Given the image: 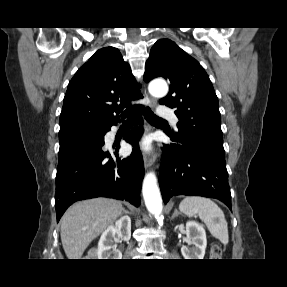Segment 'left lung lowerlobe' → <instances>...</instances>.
Segmentation results:
<instances>
[{
  "instance_id": "1",
  "label": "left lung lower lobe",
  "mask_w": 287,
  "mask_h": 287,
  "mask_svg": "<svg viewBox=\"0 0 287 287\" xmlns=\"http://www.w3.org/2000/svg\"><path fill=\"white\" fill-rule=\"evenodd\" d=\"M164 146L159 185L166 204L172 196L216 198L231 209L225 155L200 144L175 141Z\"/></svg>"
}]
</instances>
